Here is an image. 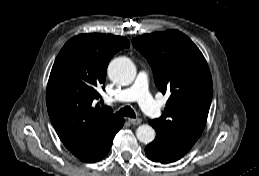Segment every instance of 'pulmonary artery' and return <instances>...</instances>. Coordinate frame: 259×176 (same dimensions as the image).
I'll use <instances>...</instances> for the list:
<instances>
[{
	"label": "pulmonary artery",
	"mask_w": 259,
	"mask_h": 176,
	"mask_svg": "<svg viewBox=\"0 0 259 176\" xmlns=\"http://www.w3.org/2000/svg\"><path fill=\"white\" fill-rule=\"evenodd\" d=\"M137 100L141 108L151 117L160 115V108L148 91V76L145 71L139 72L135 82L130 87L121 90L114 97L106 99L109 103H123Z\"/></svg>",
	"instance_id": "e3ab8cb5"
}]
</instances>
